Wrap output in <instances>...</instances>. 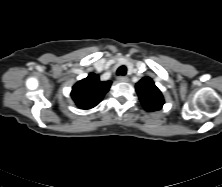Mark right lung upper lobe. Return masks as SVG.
Masks as SVG:
<instances>
[{
  "label": "right lung upper lobe",
  "mask_w": 222,
  "mask_h": 187,
  "mask_svg": "<svg viewBox=\"0 0 222 187\" xmlns=\"http://www.w3.org/2000/svg\"><path fill=\"white\" fill-rule=\"evenodd\" d=\"M110 85L111 81H100L97 74L90 73L73 86L71 96L79 108L91 109L102 100Z\"/></svg>",
  "instance_id": "right-lung-upper-lobe-1"
}]
</instances>
